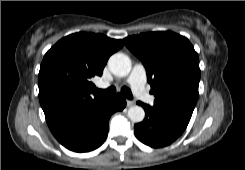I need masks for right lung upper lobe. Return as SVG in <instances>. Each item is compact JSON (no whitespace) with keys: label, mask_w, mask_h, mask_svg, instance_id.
<instances>
[{"label":"right lung upper lobe","mask_w":245,"mask_h":170,"mask_svg":"<svg viewBox=\"0 0 245 170\" xmlns=\"http://www.w3.org/2000/svg\"><path fill=\"white\" fill-rule=\"evenodd\" d=\"M122 40L79 32L58 41L44 56L39 75V99L55 137L64 133L94 104L106 98L93 89L110 55Z\"/></svg>","instance_id":"cb5924a9"}]
</instances>
